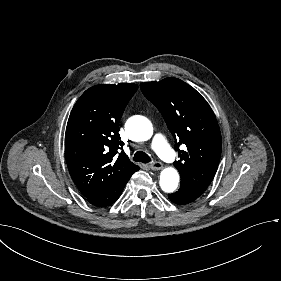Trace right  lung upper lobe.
<instances>
[{"instance_id": "cb5924a9", "label": "right lung upper lobe", "mask_w": 281, "mask_h": 281, "mask_svg": "<svg viewBox=\"0 0 281 281\" xmlns=\"http://www.w3.org/2000/svg\"><path fill=\"white\" fill-rule=\"evenodd\" d=\"M135 84H102L86 90L74 105L65 133L70 175L91 198L139 170L121 149L118 124L137 91Z\"/></svg>"}]
</instances>
